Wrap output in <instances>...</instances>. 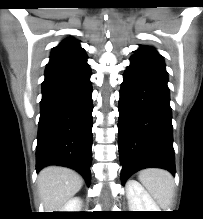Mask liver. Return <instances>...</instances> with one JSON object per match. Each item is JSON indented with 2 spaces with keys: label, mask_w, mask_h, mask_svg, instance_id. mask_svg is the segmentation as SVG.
Returning a JSON list of instances; mask_svg holds the SVG:
<instances>
[{
  "label": "liver",
  "mask_w": 203,
  "mask_h": 219,
  "mask_svg": "<svg viewBox=\"0 0 203 219\" xmlns=\"http://www.w3.org/2000/svg\"><path fill=\"white\" fill-rule=\"evenodd\" d=\"M82 185L83 178L69 168L48 166L41 170L38 175V190L45 212H61Z\"/></svg>",
  "instance_id": "1"
}]
</instances>
